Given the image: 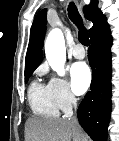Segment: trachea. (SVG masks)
<instances>
[{
	"label": "trachea",
	"instance_id": "3493384b",
	"mask_svg": "<svg viewBox=\"0 0 119 141\" xmlns=\"http://www.w3.org/2000/svg\"><path fill=\"white\" fill-rule=\"evenodd\" d=\"M68 15L71 21L79 29V34H78L79 42L83 44L84 46H89L90 42H89V36H88L87 29L83 26L82 17L80 16L74 3H70L68 6Z\"/></svg>",
	"mask_w": 119,
	"mask_h": 141
}]
</instances>
